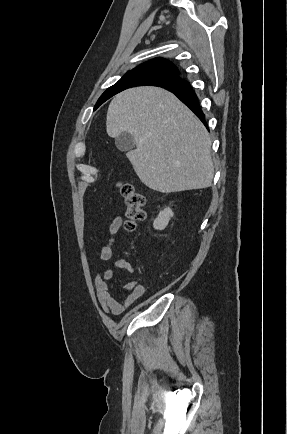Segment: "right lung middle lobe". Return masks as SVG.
<instances>
[{"label": "right lung middle lobe", "instance_id": "dd1d6c3e", "mask_svg": "<svg viewBox=\"0 0 287 434\" xmlns=\"http://www.w3.org/2000/svg\"><path fill=\"white\" fill-rule=\"evenodd\" d=\"M176 76L160 69L138 68L133 69L125 74L116 84L109 87L99 98L95 109L108 100L113 95L134 86L153 85L155 83L165 82L175 79Z\"/></svg>", "mask_w": 287, "mask_h": 434}]
</instances>
